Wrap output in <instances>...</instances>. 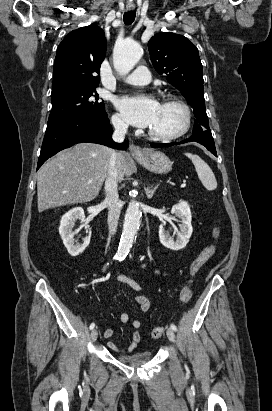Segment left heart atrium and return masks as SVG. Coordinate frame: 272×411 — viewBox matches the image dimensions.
I'll use <instances>...</instances> for the list:
<instances>
[{
  "instance_id": "left-heart-atrium-1",
  "label": "left heart atrium",
  "mask_w": 272,
  "mask_h": 411,
  "mask_svg": "<svg viewBox=\"0 0 272 411\" xmlns=\"http://www.w3.org/2000/svg\"><path fill=\"white\" fill-rule=\"evenodd\" d=\"M159 103L149 95L122 96L116 106L125 120L133 126L148 128L156 119Z\"/></svg>"
}]
</instances>
